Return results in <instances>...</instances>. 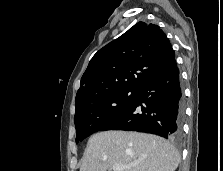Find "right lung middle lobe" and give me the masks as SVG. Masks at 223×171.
I'll use <instances>...</instances> for the list:
<instances>
[{
    "instance_id": "dd1d6c3e",
    "label": "right lung middle lobe",
    "mask_w": 223,
    "mask_h": 171,
    "mask_svg": "<svg viewBox=\"0 0 223 171\" xmlns=\"http://www.w3.org/2000/svg\"><path fill=\"white\" fill-rule=\"evenodd\" d=\"M136 93L137 91L111 93L76 109V143L118 118L132 104Z\"/></svg>"
}]
</instances>
